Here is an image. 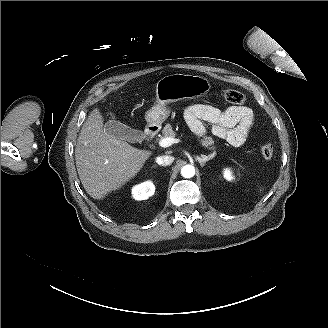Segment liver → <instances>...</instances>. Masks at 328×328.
<instances>
[{
    "label": "liver",
    "instance_id": "6515ba94",
    "mask_svg": "<svg viewBox=\"0 0 328 328\" xmlns=\"http://www.w3.org/2000/svg\"><path fill=\"white\" fill-rule=\"evenodd\" d=\"M102 127L103 117L94 109L82 126L75 148L79 178L94 199L103 198L133 178L151 155L106 135Z\"/></svg>",
    "mask_w": 328,
    "mask_h": 328
}]
</instances>
